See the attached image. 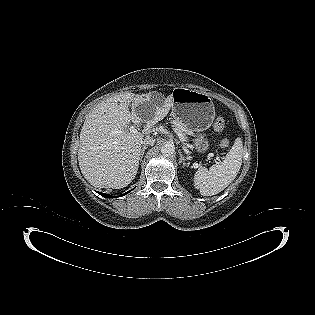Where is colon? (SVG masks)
<instances>
[{
	"label": "colon",
	"mask_w": 315,
	"mask_h": 315,
	"mask_svg": "<svg viewBox=\"0 0 315 315\" xmlns=\"http://www.w3.org/2000/svg\"><path fill=\"white\" fill-rule=\"evenodd\" d=\"M226 123L223 118H217L214 122V129L216 131H223L225 129ZM219 145L221 148L226 149L229 147L230 142L228 139L223 138L220 140Z\"/></svg>",
	"instance_id": "colon-1"
}]
</instances>
